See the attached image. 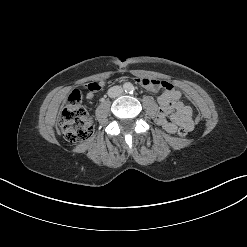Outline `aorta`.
Here are the masks:
<instances>
[{"label": "aorta", "mask_w": 247, "mask_h": 247, "mask_svg": "<svg viewBox=\"0 0 247 247\" xmlns=\"http://www.w3.org/2000/svg\"><path fill=\"white\" fill-rule=\"evenodd\" d=\"M132 88H133V85L131 83H125L124 84L125 90L130 91V90H132Z\"/></svg>", "instance_id": "1"}]
</instances>
